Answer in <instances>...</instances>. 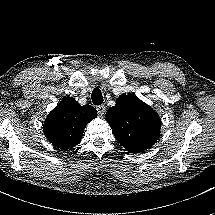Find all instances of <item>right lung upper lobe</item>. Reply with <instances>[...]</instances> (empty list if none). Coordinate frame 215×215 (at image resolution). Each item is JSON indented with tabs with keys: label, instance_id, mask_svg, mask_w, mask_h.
<instances>
[{
	"label": "right lung upper lobe",
	"instance_id": "1",
	"mask_svg": "<svg viewBox=\"0 0 215 215\" xmlns=\"http://www.w3.org/2000/svg\"><path fill=\"white\" fill-rule=\"evenodd\" d=\"M97 116L91 105H79L74 98H64L43 124L45 137L57 148L68 150L82 138L88 122Z\"/></svg>",
	"mask_w": 215,
	"mask_h": 215
}]
</instances>
